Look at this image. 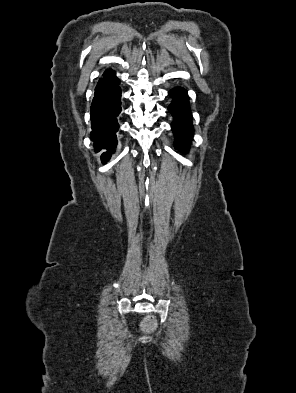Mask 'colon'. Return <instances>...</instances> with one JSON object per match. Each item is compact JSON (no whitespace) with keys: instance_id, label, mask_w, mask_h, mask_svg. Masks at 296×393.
<instances>
[{"instance_id":"1","label":"colon","mask_w":296,"mask_h":393,"mask_svg":"<svg viewBox=\"0 0 296 393\" xmlns=\"http://www.w3.org/2000/svg\"><path fill=\"white\" fill-rule=\"evenodd\" d=\"M143 330L150 332L153 331L157 326V321L153 316H148L142 321Z\"/></svg>"}]
</instances>
